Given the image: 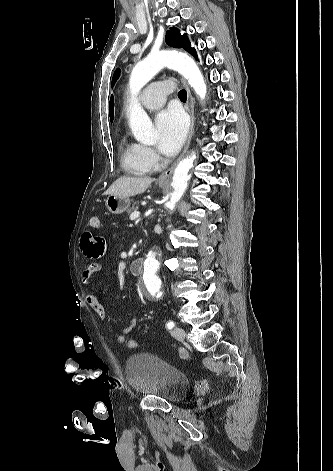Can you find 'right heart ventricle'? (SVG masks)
I'll return each instance as SVG.
<instances>
[{"instance_id":"right-heart-ventricle-1","label":"right heart ventricle","mask_w":333,"mask_h":471,"mask_svg":"<svg viewBox=\"0 0 333 471\" xmlns=\"http://www.w3.org/2000/svg\"><path fill=\"white\" fill-rule=\"evenodd\" d=\"M121 161L124 169L133 175H146L152 168L143 160L141 145L130 142L126 137L120 141Z\"/></svg>"}]
</instances>
